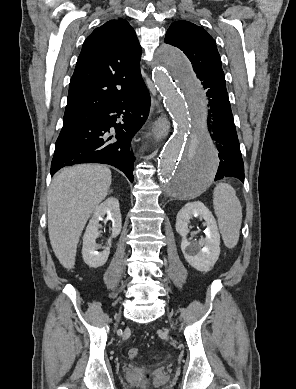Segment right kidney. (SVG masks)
Masks as SVG:
<instances>
[{
    "label": "right kidney",
    "mask_w": 296,
    "mask_h": 389,
    "mask_svg": "<svg viewBox=\"0 0 296 389\" xmlns=\"http://www.w3.org/2000/svg\"><path fill=\"white\" fill-rule=\"evenodd\" d=\"M105 215H107V219L112 221L111 238H115L120 234L122 227V218L117 198L109 197L95 208L83 236L82 257L84 262L92 268L103 266L110 254L111 240L102 252L97 251L98 244L96 243V239L100 235L99 222Z\"/></svg>",
    "instance_id": "ca27d5eb"
}]
</instances>
